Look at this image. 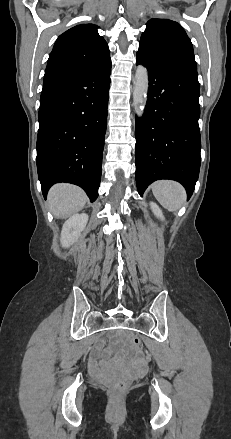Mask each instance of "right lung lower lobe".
<instances>
[{
    "instance_id": "1",
    "label": "right lung lower lobe",
    "mask_w": 231,
    "mask_h": 439,
    "mask_svg": "<svg viewBox=\"0 0 231 439\" xmlns=\"http://www.w3.org/2000/svg\"><path fill=\"white\" fill-rule=\"evenodd\" d=\"M110 73L111 59L88 74L43 84L36 149L44 197L53 184L68 182L97 199Z\"/></svg>"
}]
</instances>
